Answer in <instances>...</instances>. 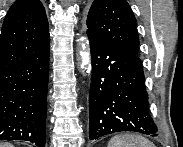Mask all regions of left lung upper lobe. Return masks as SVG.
Masks as SVG:
<instances>
[{"label": "left lung upper lobe", "instance_id": "obj_1", "mask_svg": "<svg viewBox=\"0 0 183 147\" xmlns=\"http://www.w3.org/2000/svg\"><path fill=\"white\" fill-rule=\"evenodd\" d=\"M86 23L87 34L139 54L137 21L126 0H94Z\"/></svg>", "mask_w": 183, "mask_h": 147}]
</instances>
